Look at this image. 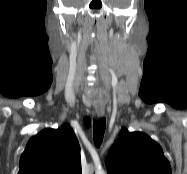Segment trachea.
<instances>
[{"instance_id": "obj_1", "label": "trachea", "mask_w": 187, "mask_h": 174, "mask_svg": "<svg viewBox=\"0 0 187 174\" xmlns=\"http://www.w3.org/2000/svg\"><path fill=\"white\" fill-rule=\"evenodd\" d=\"M94 127H93V140L96 147H100L104 133H105V127H106V119L100 118L99 120L93 121Z\"/></svg>"}]
</instances>
